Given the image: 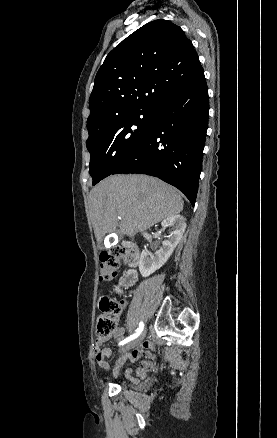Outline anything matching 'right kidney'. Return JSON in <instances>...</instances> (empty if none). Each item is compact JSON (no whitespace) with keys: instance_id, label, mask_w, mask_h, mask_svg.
I'll return each mask as SVG.
<instances>
[{"instance_id":"right-kidney-1","label":"right kidney","mask_w":277,"mask_h":438,"mask_svg":"<svg viewBox=\"0 0 277 438\" xmlns=\"http://www.w3.org/2000/svg\"><path fill=\"white\" fill-rule=\"evenodd\" d=\"M162 228H167V226H171V234H169L167 240L162 242V248L157 250L155 254H151V252H147V250H143L140 256L139 262V272L143 278H148L150 274L162 268L164 264H166L168 258H170L171 254H173L174 248H176L177 244H179L186 228V218L184 216H170V218H166L161 222Z\"/></svg>"}]
</instances>
